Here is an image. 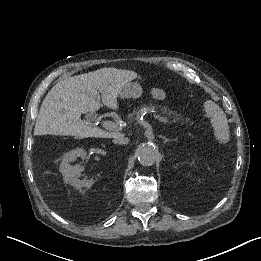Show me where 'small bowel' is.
I'll list each match as a JSON object with an SVG mask.
<instances>
[{
  "label": "small bowel",
  "instance_id": "1",
  "mask_svg": "<svg viewBox=\"0 0 261 261\" xmlns=\"http://www.w3.org/2000/svg\"><path fill=\"white\" fill-rule=\"evenodd\" d=\"M150 92L151 95L158 100H164L166 98L165 92L160 88H152Z\"/></svg>",
  "mask_w": 261,
  "mask_h": 261
}]
</instances>
